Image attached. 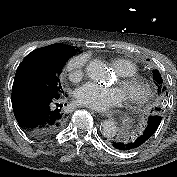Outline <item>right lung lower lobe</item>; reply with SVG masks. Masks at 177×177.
Segmentation results:
<instances>
[{
  "label": "right lung lower lobe",
  "instance_id": "98d812e1",
  "mask_svg": "<svg viewBox=\"0 0 177 177\" xmlns=\"http://www.w3.org/2000/svg\"><path fill=\"white\" fill-rule=\"evenodd\" d=\"M60 96L13 87L12 107L19 126L36 138L57 133L68 116L59 104Z\"/></svg>",
  "mask_w": 177,
  "mask_h": 177
}]
</instances>
